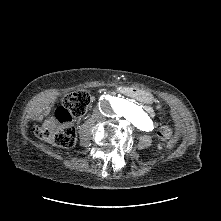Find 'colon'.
<instances>
[{
  "label": "colon",
  "mask_w": 221,
  "mask_h": 221,
  "mask_svg": "<svg viewBox=\"0 0 221 221\" xmlns=\"http://www.w3.org/2000/svg\"><path fill=\"white\" fill-rule=\"evenodd\" d=\"M90 100V94L87 91L67 94L63 99V105L55 111V118L59 125L56 126L53 118H48L35 125V133L41 138L50 137L58 147H72L76 140V130L72 120L84 114ZM157 135L160 140L168 141L170 147L177 145L178 140L173 137V131L170 126L164 125L160 127Z\"/></svg>",
  "instance_id": "1"
}]
</instances>
